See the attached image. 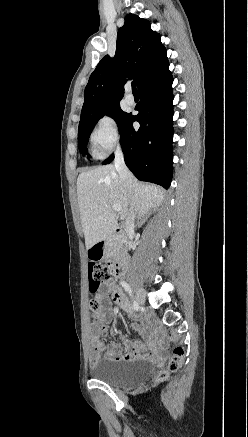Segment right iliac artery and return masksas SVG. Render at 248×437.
I'll return each instance as SVG.
<instances>
[{"label": "right iliac artery", "mask_w": 248, "mask_h": 437, "mask_svg": "<svg viewBox=\"0 0 248 437\" xmlns=\"http://www.w3.org/2000/svg\"><path fill=\"white\" fill-rule=\"evenodd\" d=\"M121 285L125 289V291H127L130 294V296H132V290H131L130 286L125 281H121ZM133 308H134V310L139 309L138 303L135 301V299H133Z\"/></svg>", "instance_id": "82829eb1"}]
</instances>
